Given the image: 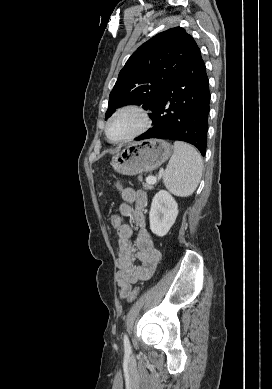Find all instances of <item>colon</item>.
Listing matches in <instances>:
<instances>
[{
  "mask_svg": "<svg viewBox=\"0 0 272 389\" xmlns=\"http://www.w3.org/2000/svg\"><path fill=\"white\" fill-rule=\"evenodd\" d=\"M110 224H111L112 228H114L115 230H118L120 228V226L122 225V218H121L120 214L113 213L110 216ZM138 294H139V288L136 287L128 293L127 300L129 302L134 301L137 298Z\"/></svg>",
  "mask_w": 272,
  "mask_h": 389,
  "instance_id": "colon-1",
  "label": "colon"
}]
</instances>
